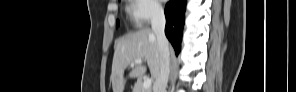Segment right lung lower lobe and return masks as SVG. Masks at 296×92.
Wrapping results in <instances>:
<instances>
[{
  "label": "right lung lower lobe",
  "instance_id": "98d812e1",
  "mask_svg": "<svg viewBox=\"0 0 296 92\" xmlns=\"http://www.w3.org/2000/svg\"><path fill=\"white\" fill-rule=\"evenodd\" d=\"M186 0H173L166 4L165 34L173 45L176 55L180 52L183 25L185 20Z\"/></svg>",
  "mask_w": 296,
  "mask_h": 92
}]
</instances>
